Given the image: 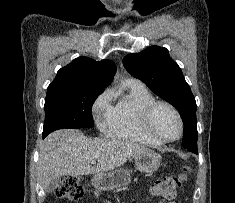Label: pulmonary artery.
I'll return each mask as SVG.
<instances>
[{"instance_id":"e3ab8cb5","label":"pulmonary artery","mask_w":235,"mask_h":203,"mask_svg":"<svg viewBox=\"0 0 235 203\" xmlns=\"http://www.w3.org/2000/svg\"><path fill=\"white\" fill-rule=\"evenodd\" d=\"M131 81H136V82H138L137 80H131Z\"/></svg>"}]
</instances>
